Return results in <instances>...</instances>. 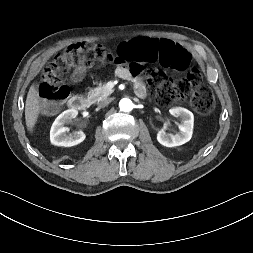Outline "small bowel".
Here are the masks:
<instances>
[{"label":"small bowel","mask_w":253,"mask_h":253,"mask_svg":"<svg viewBox=\"0 0 253 253\" xmlns=\"http://www.w3.org/2000/svg\"><path fill=\"white\" fill-rule=\"evenodd\" d=\"M138 64L141 65V63H138ZM116 72L119 77L124 78V79H131L133 77L130 69L125 66L118 67ZM84 74H85V69L83 67H78L74 72L73 81L74 82L80 81L83 78ZM135 88L138 94L140 95L144 94L145 87L141 82H136Z\"/></svg>","instance_id":"obj_1"}]
</instances>
